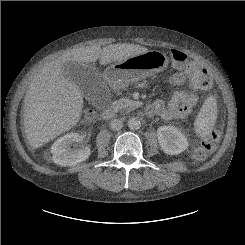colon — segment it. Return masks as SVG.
<instances>
[{
	"mask_svg": "<svg viewBox=\"0 0 245 245\" xmlns=\"http://www.w3.org/2000/svg\"><path fill=\"white\" fill-rule=\"evenodd\" d=\"M169 56L173 62V64L177 67H184L188 63V56L182 52L181 50L171 49L169 52ZM199 86L208 91L211 89L213 81L209 74H202L198 76ZM85 116L87 118L93 116V112L91 110H87ZM220 139V132L218 130L211 131L203 140H201L194 149V158L203 159L207 155H209L212 151H214L218 145V141Z\"/></svg>",
	"mask_w": 245,
	"mask_h": 245,
	"instance_id": "colon-1",
	"label": "colon"
}]
</instances>
